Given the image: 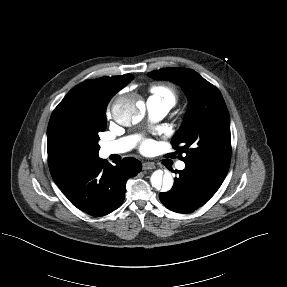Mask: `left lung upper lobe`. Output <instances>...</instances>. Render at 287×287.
Instances as JSON below:
<instances>
[{"label": "left lung upper lobe", "mask_w": 287, "mask_h": 287, "mask_svg": "<svg viewBox=\"0 0 287 287\" xmlns=\"http://www.w3.org/2000/svg\"><path fill=\"white\" fill-rule=\"evenodd\" d=\"M148 75L181 85L189 96L188 113L171 141L178 158L224 180L230 165L231 135L229 113L220 91L187 68H163Z\"/></svg>", "instance_id": "left-lung-upper-lobe-1"}]
</instances>
